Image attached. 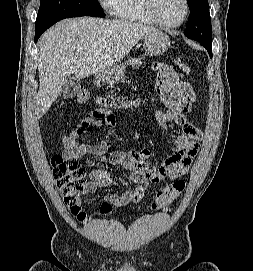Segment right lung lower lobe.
<instances>
[{"label":"right lung lower lobe","instance_id":"obj_1","mask_svg":"<svg viewBox=\"0 0 253 271\" xmlns=\"http://www.w3.org/2000/svg\"><path fill=\"white\" fill-rule=\"evenodd\" d=\"M44 31H38V32H35V42L38 41L39 37L41 36V34L43 33Z\"/></svg>","mask_w":253,"mask_h":271}]
</instances>
